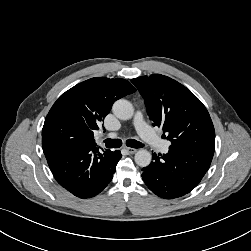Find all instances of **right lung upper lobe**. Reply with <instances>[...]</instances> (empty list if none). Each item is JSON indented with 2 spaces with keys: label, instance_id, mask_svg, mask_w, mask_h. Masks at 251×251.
<instances>
[{
  "label": "right lung upper lobe",
  "instance_id": "right-lung-upper-lobe-1",
  "mask_svg": "<svg viewBox=\"0 0 251 251\" xmlns=\"http://www.w3.org/2000/svg\"><path fill=\"white\" fill-rule=\"evenodd\" d=\"M136 89L125 79L95 77L63 93L45 120L64 117L81 130L87 147L95 146L93 131L110 112L113 103Z\"/></svg>",
  "mask_w": 251,
  "mask_h": 251
}]
</instances>
